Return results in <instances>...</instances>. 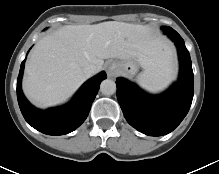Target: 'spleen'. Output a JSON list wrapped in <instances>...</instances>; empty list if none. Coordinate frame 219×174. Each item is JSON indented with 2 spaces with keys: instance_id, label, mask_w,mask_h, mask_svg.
Instances as JSON below:
<instances>
[{
  "instance_id": "1",
  "label": "spleen",
  "mask_w": 219,
  "mask_h": 174,
  "mask_svg": "<svg viewBox=\"0 0 219 174\" xmlns=\"http://www.w3.org/2000/svg\"><path fill=\"white\" fill-rule=\"evenodd\" d=\"M165 58L156 65L146 68L136 77L137 83L150 93H159L176 78V70L172 64V54L165 52Z\"/></svg>"
}]
</instances>
